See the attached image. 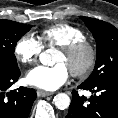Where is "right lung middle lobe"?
Masks as SVG:
<instances>
[{"instance_id": "1", "label": "right lung middle lobe", "mask_w": 118, "mask_h": 118, "mask_svg": "<svg viewBox=\"0 0 118 118\" xmlns=\"http://www.w3.org/2000/svg\"><path fill=\"white\" fill-rule=\"evenodd\" d=\"M31 25L0 19V74L19 70L14 50L17 41L26 34Z\"/></svg>"}]
</instances>
